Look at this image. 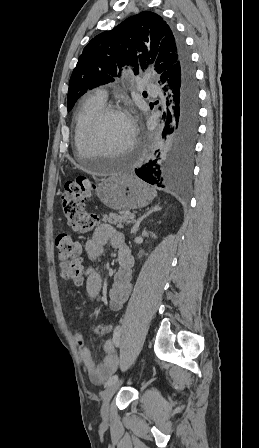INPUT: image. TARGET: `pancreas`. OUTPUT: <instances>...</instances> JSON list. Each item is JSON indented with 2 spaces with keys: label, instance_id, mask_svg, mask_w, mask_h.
Returning <instances> with one entry per match:
<instances>
[{
  "label": "pancreas",
  "instance_id": "1",
  "mask_svg": "<svg viewBox=\"0 0 259 448\" xmlns=\"http://www.w3.org/2000/svg\"><path fill=\"white\" fill-rule=\"evenodd\" d=\"M132 217L135 216L134 214H130V212H118V214H109V216L105 214V216H103V222H109V224H113V226H117V228H123L124 224H130L129 220Z\"/></svg>",
  "mask_w": 259,
  "mask_h": 448
}]
</instances>
